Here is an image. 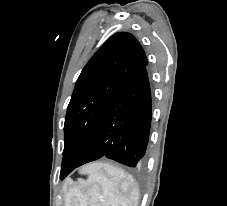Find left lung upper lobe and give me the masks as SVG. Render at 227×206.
Masks as SVG:
<instances>
[{
  "instance_id": "left-lung-upper-lobe-1",
  "label": "left lung upper lobe",
  "mask_w": 227,
  "mask_h": 206,
  "mask_svg": "<svg viewBox=\"0 0 227 206\" xmlns=\"http://www.w3.org/2000/svg\"><path fill=\"white\" fill-rule=\"evenodd\" d=\"M147 64L142 46L127 32L112 35L92 56L76 81L68 105L61 171L81 160L114 96Z\"/></svg>"
}]
</instances>
